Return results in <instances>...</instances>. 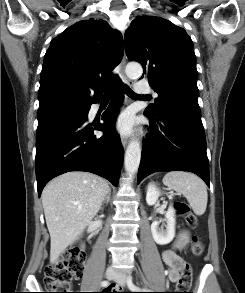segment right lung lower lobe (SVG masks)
<instances>
[{"label": "right lung lower lobe", "mask_w": 245, "mask_h": 293, "mask_svg": "<svg viewBox=\"0 0 245 293\" xmlns=\"http://www.w3.org/2000/svg\"><path fill=\"white\" fill-rule=\"evenodd\" d=\"M122 100L123 92L118 85L112 103L102 115L103 123L87 122L89 104L82 116L57 121L37 132L35 166L39 197L48 181L68 171L91 172L117 185L124 150L114 122ZM95 130L105 134L98 138L93 135Z\"/></svg>", "instance_id": "98d812e1"}]
</instances>
